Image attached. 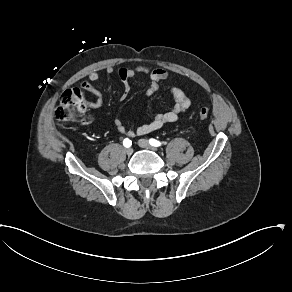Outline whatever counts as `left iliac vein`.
I'll list each match as a JSON object with an SVG mask.
<instances>
[{
	"label": "left iliac vein",
	"mask_w": 292,
	"mask_h": 292,
	"mask_svg": "<svg viewBox=\"0 0 292 292\" xmlns=\"http://www.w3.org/2000/svg\"><path fill=\"white\" fill-rule=\"evenodd\" d=\"M138 145L141 147V148H144V149H148V150H151V151H157V149L155 147H152L150 145V143L146 140V139H140L138 141Z\"/></svg>",
	"instance_id": "1"
}]
</instances>
